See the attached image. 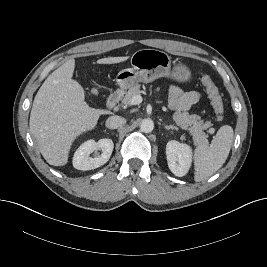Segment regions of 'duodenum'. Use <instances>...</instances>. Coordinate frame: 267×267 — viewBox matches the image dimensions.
Instances as JSON below:
<instances>
[{
    "instance_id": "obj_1",
    "label": "duodenum",
    "mask_w": 267,
    "mask_h": 267,
    "mask_svg": "<svg viewBox=\"0 0 267 267\" xmlns=\"http://www.w3.org/2000/svg\"><path fill=\"white\" fill-rule=\"evenodd\" d=\"M122 96L123 91L121 89H118L111 93L106 102L107 108L112 109L113 107H115L121 100Z\"/></svg>"
}]
</instances>
